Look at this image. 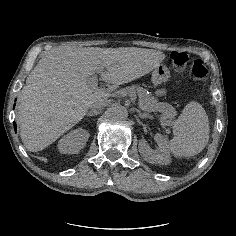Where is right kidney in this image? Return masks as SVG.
<instances>
[{"mask_svg": "<svg viewBox=\"0 0 236 236\" xmlns=\"http://www.w3.org/2000/svg\"><path fill=\"white\" fill-rule=\"evenodd\" d=\"M88 138V131L74 130L60 140L58 150L63 154H76L85 145Z\"/></svg>", "mask_w": 236, "mask_h": 236, "instance_id": "obj_1", "label": "right kidney"}]
</instances>
